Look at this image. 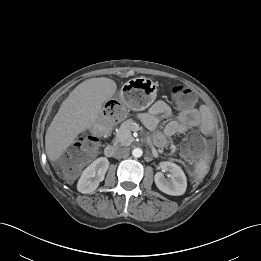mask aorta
Wrapping results in <instances>:
<instances>
[{"mask_svg":"<svg viewBox=\"0 0 261 261\" xmlns=\"http://www.w3.org/2000/svg\"><path fill=\"white\" fill-rule=\"evenodd\" d=\"M142 153H143V151H142V149H140V148H134L133 151H132V155H133L134 157H136V158L141 157V156H142Z\"/></svg>","mask_w":261,"mask_h":261,"instance_id":"1","label":"aorta"}]
</instances>
